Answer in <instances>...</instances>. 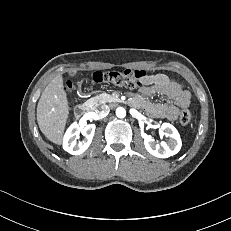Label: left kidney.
Returning a JSON list of instances; mask_svg holds the SVG:
<instances>
[{"instance_id":"obj_1","label":"left kidney","mask_w":231,"mask_h":231,"mask_svg":"<svg viewBox=\"0 0 231 231\" xmlns=\"http://www.w3.org/2000/svg\"><path fill=\"white\" fill-rule=\"evenodd\" d=\"M163 134L170 137V142H161L155 144L154 139L150 135L144 136V145L146 150L153 156L158 158H168L177 154L181 149V138L176 128L170 123H163L161 126Z\"/></svg>"}]
</instances>
